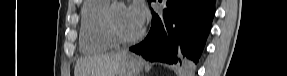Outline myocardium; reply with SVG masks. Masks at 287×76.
Instances as JSON below:
<instances>
[{"mask_svg":"<svg viewBox=\"0 0 287 76\" xmlns=\"http://www.w3.org/2000/svg\"><path fill=\"white\" fill-rule=\"evenodd\" d=\"M118 7L127 6L124 2L113 1L106 9L102 21L104 32L115 44H127L140 40L145 34V28L143 27L137 34L132 36H126L119 31L115 24V12Z\"/></svg>","mask_w":287,"mask_h":76,"instance_id":"obj_1","label":"myocardium"}]
</instances>
